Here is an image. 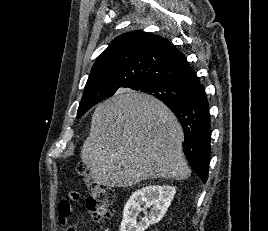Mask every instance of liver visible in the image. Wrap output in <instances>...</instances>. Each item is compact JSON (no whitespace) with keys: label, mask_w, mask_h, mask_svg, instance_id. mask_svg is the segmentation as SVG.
I'll return each instance as SVG.
<instances>
[{"label":"liver","mask_w":268,"mask_h":231,"mask_svg":"<svg viewBox=\"0 0 268 231\" xmlns=\"http://www.w3.org/2000/svg\"><path fill=\"white\" fill-rule=\"evenodd\" d=\"M183 140L181 125L164 103L122 90L96 107L81 159L94 181L107 187L154 178L184 180L191 170Z\"/></svg>","instance_id":"6515ba94"}]
</instances>
